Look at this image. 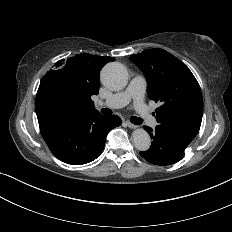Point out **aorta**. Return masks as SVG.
Segmentation results:
<instances>
[{"label": "aorta", "instance_id": "762f6f07", "mask_svg": "<svg viewBox=\"0 0 232 232\" xmlns=\"http://www.w3.org/2000/svg\"><path fill=\"white\" fill-rule=\"evenodd\" d=\"M100 78L102 84L108 89L120 91L124 89L128 83V72L122 64L112 62L103 67ZM132 138L138 150L146 151L150 148L151 138L146 130L142 128L134 130Z\"/></svg>", "mask_w": 232, "mask_h": 232}]
</instances>
